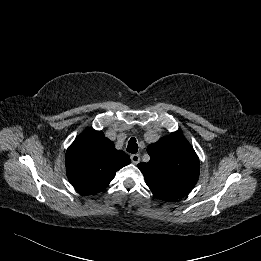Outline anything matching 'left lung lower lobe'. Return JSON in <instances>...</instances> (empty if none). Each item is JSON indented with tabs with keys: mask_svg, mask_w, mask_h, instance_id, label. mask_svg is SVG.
<instances>
[{
	"mask_svg": "<svg viewBox=\"0 0 261 261\" xmlns=\"http://www.w3.org/2000/svg\"><path fill=\"white\" fill-rule=\"evenodd\" d=\"M163 200H167V201H173L174 199H163Z\"/></svg>",
	"mask_w": 261,
	"mask_h": 261,
	"instance_id": "1",
	"label": "left lung lower lobe"
}]
</instances>
